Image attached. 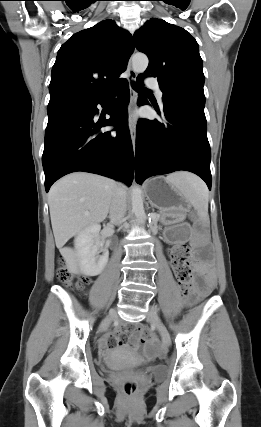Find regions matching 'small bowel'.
I'll return each instance as SVG.
<instances>
[{
  "instance_id": "small-bowel-1",
  "label": "small bowel",
  "mask_w": 261,
  "mask_h": 427,
  "mask_svg": "<svg viewBox=\"0 0 261 427\" xmlns=\"http://www.w3.org/2000/svg\"><path fill=\"white\" fill-rule=\"evenodd\" d=\"M205 290H206L205 285H196L193 289V295L195 296L198 293L204 292ZM133 328L137 329L138 325L134 324ZM123 334H124L123 330H119L116 335H114V334L109 335L105 340V346L108 348H114L118 345H121L123 343ZM102 344L104 345V343H102ZM130 344L133 347H137L138 343H137L136 336H131ZM156 349H157L156 342L151 341L148 344V346L146 347V352H147V354L152 355L156 352Z\"/></svg>"
}]
</instances>
